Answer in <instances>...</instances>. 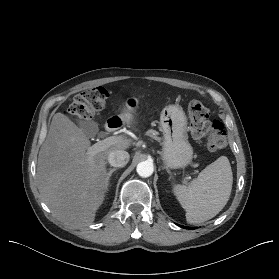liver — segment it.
I'll return each instance as SVG.
<instances>
[{
	"label": "liver",
	"instance_id": "liver-1",
	"mask_svg": "<svg viewBox=\"0 0 279 279\" xmlns=\"http://www.w3.org/2000/svg\"><path fill=\"white\" fill-rule=\"evenodd\" d=\"M135 110L124 106L118 115L122 124H132ZM129 146L125 140L91 156L82 129L56 113L38 155L36 180L42 200L70 228L90 225L107 190L108 155Z\"/></svg>",
	"mask_w": 279,
	"mask_h": 279
}]
</instances>
